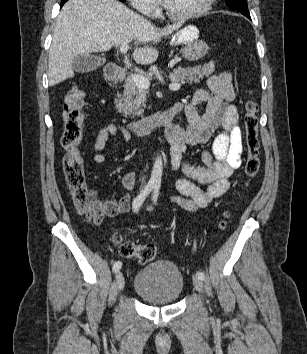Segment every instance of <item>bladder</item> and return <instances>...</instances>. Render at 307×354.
Listing matches in <instances>:
<instances>
[{"label": "bladder", "instance_id": "obj_1", "mask_svg": "<svg viewBox=\"0 0 307 354\" xmlns=\"http://www.w3.org/2000/svg\"><path fill=\"white\" fill-rule=\"evenodd\" d=\"M184 288V278L171 261L159 260L141 268L134 279V290L150 304L166 305L179 299Z\"/></svg>", "mask_w": 307, "mask_h": 354}]
</instances>
